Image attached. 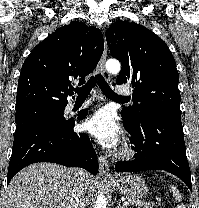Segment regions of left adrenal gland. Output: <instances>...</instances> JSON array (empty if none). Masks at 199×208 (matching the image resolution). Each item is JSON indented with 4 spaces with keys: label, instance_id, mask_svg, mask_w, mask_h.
<instances>
[{
    "label": "left adrenal gland",
    "instance_id": "obj_1",
    "mask_svg": "<svg viewBox=\"0 0 199 208\" xmlns=\"http://www.w3.org/2000/svg\"><path fill=\"white\" fill-rule=\"evenodd\" d=\"M116 208H124V207H121V206H120V202L118 201L117 207H116Z\"/></svg>",
    "mask_w": 199,
    "mask_h": 208
}]
</instances>
